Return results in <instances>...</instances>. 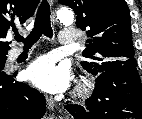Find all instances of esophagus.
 I'll return each mask as SVG.
<instances>
[{"label": "esophagus", "mask_w": 142, "mask_h": 119, "mask_svg": "<svg viewBox=\"0 0 142 119\" xmlns=\"http://www.w3.org/2000/svg\"><path fill=\"white\" fill-rule=\"evenodd\" d=\"M49 3H50V5H53L54 1L49 0ZM46 103H47L48 109L54 110L55 103H54V100L51 97L46 96Z\"/></svg>", "instance_id": "1"}]
</instances>
